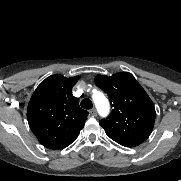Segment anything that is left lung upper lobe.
Wrapping results in <instances>:
<instances>
[{"mask_svg":"<svg viewBox=\"0 0 181 181\" xmlns=\"http://www.w3.org/2000/svg\"><path fill=\"white\" fill-rule=\"evenodd\" d=\"M95 84L110 98L112 112L99 124L115 142L125 147L143 143L151 134L155 122V107L134 76L128 72L110 77L98 74Z\"/></svg>","mask_w":181,"mask_h":181,"instance_id":"1","label":"left lung upper lobe"}]
</instances>
